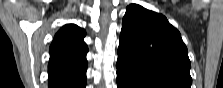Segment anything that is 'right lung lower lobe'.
I'll list each match as a JSON object with an SVG mask.
<instances>
[{
    "mask_svg": "<svg viewBox=\"0 0 223 88\" xmlns=\"http://www.w3.org/2000/svg\"><path fill=\"white\" fill-rule=\"evenodd\" d=\"M50 85H51V80H50ZM85 85H86V80H84L81 83H78V84L74 85L72 88H85Z\"/></svg>",
    "mask_w": 223,
    "mask_h": 88,
    "instance_id": "1",
    "label": "right lung lower lobe"
}]
</instances>
